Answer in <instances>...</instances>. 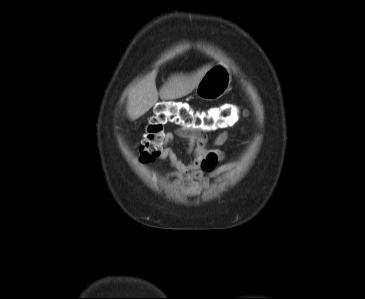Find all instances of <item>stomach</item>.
<instances>
[{
    "instance_id": "stomach-1",
    "label": "stomach",
    "mask_w": 365,
    "mask_h": 299,
    "mask_svg": "<svg viewBox=\"0 0 365 299\" xmlns=\"http://www.w3.org/2000/svg\"><path fill=\"white\" fill-rule=\"evenodd\" d=\"M231 72L224 64H217L208 69L195 88V95L202 100H214L223 96L230 89Z\"/></svg>"
}]
</instances>
